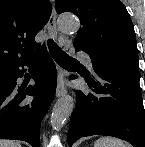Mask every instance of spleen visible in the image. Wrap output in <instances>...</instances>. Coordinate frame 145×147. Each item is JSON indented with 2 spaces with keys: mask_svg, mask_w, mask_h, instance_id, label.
<instances>
[{
  "mask_svg": "<svg viewBox=\"0 0 145 147\" xmlns=\"http://www.w3.org/2000/svg\"><path fill=\"white\" fill-rule=\"evenodd\" d=\"M94 147H127L122 140L112 137H101L96 140Z\"/></svg>",
  "mask_w": 145,
  "mask_h": 147,
  "instance_id": "3e777b00",
  "label": "spleen"
}]
</instances>
